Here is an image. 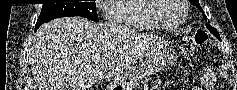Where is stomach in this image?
Wrapping results in <instances>:
<instances>
[{
	"mask_svg": "<svg viewBox=\"0 0 237 90\" xmlns=\"http://www.w3.org/2000/svg\"><path fill=\"white\" fill-rule=\"evenodd\" d=\"M173 62L174 57L170 53L152 57L117 75L108 85L107 90H132L140 80L166 70Z\"/></svg>",
	"mask_w": 237,
	"mask_h": 90,
	"instance_id": "stomach-1",
	"label": "stomach"
}]
</instances>
